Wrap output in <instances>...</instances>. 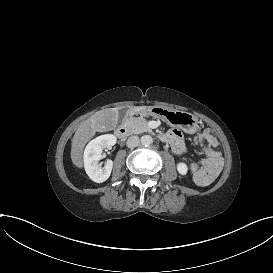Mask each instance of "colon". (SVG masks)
<instances>
[{"instance_id":"5ec220e1","label":"colon","mask_w":273,"mask_h":273,"mask_svg":"<svg viewBox=\"0 0 273 273\" xmlns=\"http://www.w3.org/2000/svg\"><path fill=\"white\" fill-rule=\"evenodd\" d=\"M222 160L219 154H213L206 160V165L204 166V170L206 171L207 177L214 178L217 174V170L220 168ZM204 185L207 182H203Z\"/></svg>"}]
</instances>
